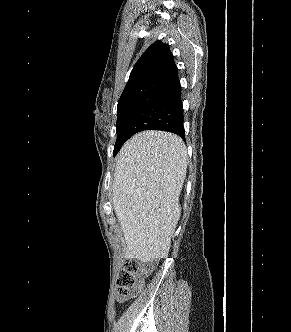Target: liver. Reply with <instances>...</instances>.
<instances>
[{
	"mask_svg": "<svg viewBox=\"0 0 291 332\" xmlns=\"http://www.w3.org/2000/svg\"><path fill=\"white\" fill-rule=\"evenodd\" d=\"M187 163L185 144L172 133L141 132L122 146L112 201L126 258L150 262L168 256L181 214L178 200Z\"/></svg>",
	"mask_w": 291,
	"mask_h": 332,
	"instance_id": "obj_1",
	"label": "liver"
}]
</instances>
